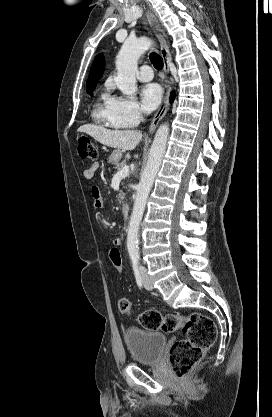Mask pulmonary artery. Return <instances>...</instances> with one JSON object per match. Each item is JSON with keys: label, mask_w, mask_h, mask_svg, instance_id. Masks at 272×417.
<instances>
[{"label": "pulmonary artery", "mask_w": 272, "mask_h": 417, "mask_svg": "<svg viewBox=\"0 0 272 417\" xmlns=\"http://www.w3.org/2000/svg\"><path fill=\"white\" fill-rule=\"evenodd\" d=\"M137 78L140 81L143 82H147L153 79V70L150 66L148 65H143L140 67L138 73H137Z\"/></svg>", "instance_id": "pulmonary-artery-1"}]
</instances>
